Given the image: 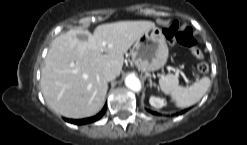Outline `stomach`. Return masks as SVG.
Masks as SVG:
<instances>
[{
  "instance_id": "stomach-1",
  "label": "stomach",
  "mask_w": 247,
  "mask_h": 145,
  "mask_svg": "<svg viewBox=\"0 0 247 145\" xmlns=\"http://www.w3.org/2000/svg\"><path fill=\"white\" fill-rule=\"evenodd\" d=\"M168 54L165 37L158 27L144 32L131 49L133 63L138 70L143 72L162 68L167 62Z\"/></svg>"
}]
</instances>
